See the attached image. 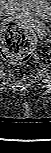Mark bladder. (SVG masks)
<instances>
[{
    "label": "bladder",
    "mask_w": 51,
    "mask_h": 153,
    "mask_svg": "<svg viewBox=\"0 0 51 153\" xmlns=\"http://www.w3.org/2000/svg\"><path fill=\"white\" fill-rule=\"evenodd\" d=\"M0 11L6 16L17 15L25 21H47L51 17L48 0H0Z\"/></svg>",
    "instance_id": "bladder-1"
}]
</instances>
